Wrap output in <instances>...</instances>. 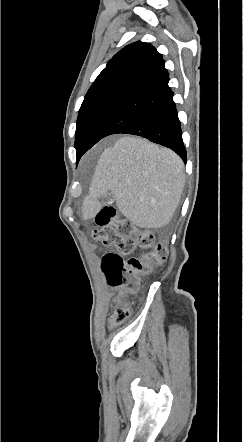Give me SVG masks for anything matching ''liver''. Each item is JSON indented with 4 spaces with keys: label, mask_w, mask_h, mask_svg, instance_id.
Instances as JSON below:
<instances>
[{
    "label": "liver",
    "mask_w": 243,
    "mask_h": 442,
    "mask_svg": "<svg viewBox=\"0 0 243 442\" xmlns=\"http://www.w3.org/2000/svg\"><path fill=\"white\" fill-rule=\"evenodd\" d=\"M184 185V163L176 153L140 137L124 136L101 154L82 204V219L94 218L101 209L98 198L110 191L130 222L161 228L171 221Z\"/></svg>",
    "instance_id": "obj_1"
}]
</instances>
